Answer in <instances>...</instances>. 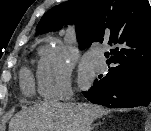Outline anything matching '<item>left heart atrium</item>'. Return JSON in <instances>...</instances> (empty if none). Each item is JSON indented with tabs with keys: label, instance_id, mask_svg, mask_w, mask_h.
<instances>
[{
	"label": "left heart atrium",
	"instance_id": "obj_1",
	"mask_svg": "<svg viewBox=\"0 0 151 131\" xmlns=\"http://www.w3.org/2000/svg\"><path fill=\"white\" fill-rule=\"evenodd\" d=\"M82 78H83L84 81H85L86 78H87V76H86V74H85L84 72H82Z\"/></svg>",
	"mask_w": 151,
	"mask_h": 131
}]
</instances>
